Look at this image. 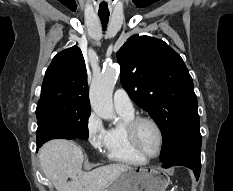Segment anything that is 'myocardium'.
Listing matches in <instances>:
<instances>
[{
    "label": "myocardium",
    "mask_w": 233,
    "mask_h": 191,
    "mask_svg": "<svg viewBox=\"0 0 233 191\" xmlns=\"http://www.w3.org/2000/svg\"><path fill=\"white\" fill-rule=\"evenodd\" d=\"M143 122H149L151 123L157 133H158V139H159V142H158V149H157V152L155 155L153 156H148L146 155L142 149L140 148L139 146V143H138V129H139V126L143 123ZM126 131H127V135H128V139L130 141V144L131 146L133 147V149L141 156L143 157L144 159L146 160H152V159H155L157 158L161 151H162V148H163V140H164V136H163V131H162V128L161 126L159 125V123L152 117H149V116H139V117H135L134 119H132L126 126Z\"/></svg>",
    "instance_id": "myocardium-1"
}]
</instances>
